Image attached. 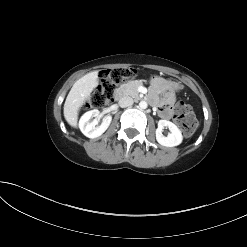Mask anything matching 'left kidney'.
I'll list each match as a JSON object with an SVG mask.
<instances>
[{"label":"left kidney","instance_id":"left-kidney-1","mask_svg":"<svg viewBox=\"0 0 247 247\" xmlns=\"http://www.w3.org/2000/svg\"><path fill=\"white\" fill-rule=\"evenodd\" d=\"M164 127H168L170 132L167 137L162 134ZM156 140L159 144L166 147H174L181 144L183 137L179 128L172 122L167 120H159L156 129Z\"/></svg>","mask_w":247,"mask_h":247}]
</instances>
